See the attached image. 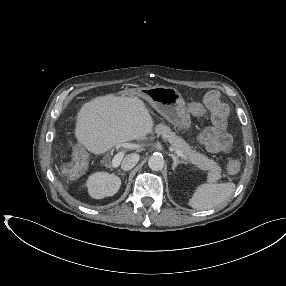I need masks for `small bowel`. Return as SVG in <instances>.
<instances>
[{
	"instance_id": "obj_1",
	"label": "small bowel",
	"mask_w": 286,
	"mask_h": 286,
	"mask_svg": "<svg viewBox=\"0 0 286 286\" xmlns=\"http://www.w3.org/2000/svg\"><path fill=\"white\" fill-rule=\"evenodd\" d=\"M217 99V96L214 95ZM218 110L210 107L212 114V125L202 129L198 134L199 142L212 154H224L230 150L232 137L226 131L227 118L226 110L217 99ZM189 112L194 116H203L205 108L201 103L192 102L188 106Z\"/></svg>"
}]
</instances>
